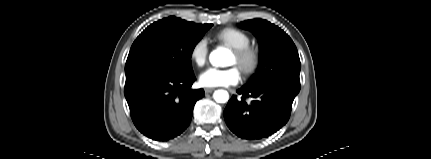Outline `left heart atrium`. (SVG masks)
<instances>
[{
  "label": "left heart atrium",
  "instance_id": "obj_1",
  "mask_svg": "<svg viewBox=\"0 0 431 159\" xmlns=\"http://www.w3.org/2000/svg\"><path fill=\"white\" fill-rule=\"evenodd\" d=\"M241 79L240 71L237 67L228 69L209 68L199 77V82L204 87H220L237 84Z\"/></svg>",
  "mask_w": 431,
  "mask_h": 159
}]
</instances>
